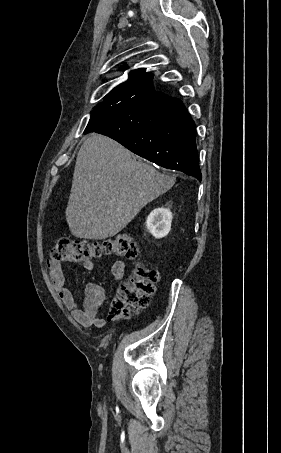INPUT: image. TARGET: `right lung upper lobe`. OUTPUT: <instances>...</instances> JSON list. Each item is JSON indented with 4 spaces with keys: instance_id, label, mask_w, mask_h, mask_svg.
Segmentation results:
<instances>
[{
    "instance_id": "cb5924a9",
    "label": "right lung upper lobe",
    "mask_w": 281,
    "mask_h": 453,
    "mask_svg": "<svg viewBox=\"0 0 281 453\" xmlns=\"http://www.w3.org/2000/svg\"><path fill=\"white\" fill-rule=\"evenodd\" d=\"M152 79L153 74L147 73L145 68L131 71L128 80L108 93L105 96L104 101L98 104L97 107H111L121 101H130L140 95L153 91L154 87Z\"/></svg>"
}]
</instances>
